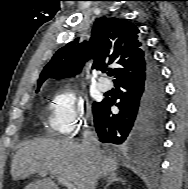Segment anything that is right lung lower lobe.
Listing matches in <instances>:
<instances>
[{"mask_svg": "<svg viewBox=\"0 0 188 189\" xmlns=\"http://www.w3.org/2000/svg\"><path fill=\"white\" fill-rule=\"evenodd\" d=\"M116 88L119 114L111 115L114 101L110 99L100 102L93 112L100 141L146 154L160 144L166 120L165 89L159 67L148 55L145 69L118 82Z\"/></svg>", "mask_w": 188, "mask_h": 189, "instance_id": "obj_1", "label": "right lung lower lobe"}]
</instances>
